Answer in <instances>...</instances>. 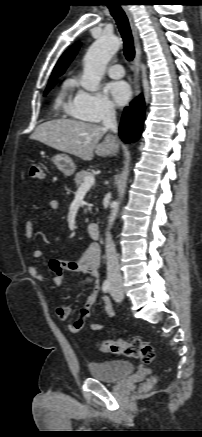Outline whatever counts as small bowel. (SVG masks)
<instances>
[{
    "label": "small bowel",
    "instance_id": "1",
    "mask_svg": "<svg viewBox=\"0 0 202 437\" xmlns=\"http://www.w3.org/2000/svg\"><path fill=\"white\" fill-rule=\"evenodd\" d=\"M51 211H57L60 208V203L58 200H51L48 204ZM34 232V220L29 219L25 224V235L26 238L31 239ZM42 251L40 249H34L32 256L34 258H40L42 256ZM100 262V253L96 245H90L84 254L75 261H65L59 259H52L49 263L50 270L53 274V283L56 286H62L66 281V273L75 272L82 273L86 275V278L79 282L78 286L83 287L85 285L92 286V292L87 297L83 307L79 310L77 317L73 322L68 325V329L72 333L79 332L84 325L86 319L91 316V308L96 302L99 292V277H98V266ZM30 276L38 281L43 282L45 277L40 268L37 266H31L29 268ZM104 303V310L108 317H114L115 312L112 308L110 300L107 296H102ZM56 315L61 321H68L71 316V309L69 306L62 305L56 308ZM90 328L94 331H101L104 329V325L98 321H94L90 324Z\"/></svg>",
    "mask_w": 202,
    "mask_h": 437
}]
</instances>
